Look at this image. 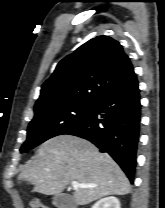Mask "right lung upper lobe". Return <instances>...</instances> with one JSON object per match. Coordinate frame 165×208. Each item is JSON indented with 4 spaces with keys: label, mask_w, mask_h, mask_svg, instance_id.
<instances>
[{
    "label": "right lung upper lobe",
    "mask_w": 165,
    "mask_h": 208,
    "mask_svg": "<svg viewBox=\"0 0 165 208\" xmlns=\"http://www.w3.org/2000/svg\"><path fill=\"white\" fill-rule=\"evenodd\" d=\"M133 75L132 63L119 42L95 37L58 63L42 85L35 110L69 101L97 102Z\"/></svg>",
    "instance_id": "cb5924a9"
}]
</instances>
